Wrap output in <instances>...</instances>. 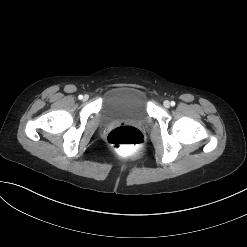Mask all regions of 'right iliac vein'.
Returning <instances> with one entry per match:
<instances>
[{
	"mask_svg": "<svg viewBox=\"0 0 247 247\" xmlns=\"http://www.w3.org/2000/svg\"><path fill=\"white\" fill-rule=\"evenodd\" d=\"M89 99V96L88 95H85L84 97H83V101H87Z\"/></svg>",
	"mask_w": 247,
	"mask_h": 247,
	"instance_id": "right-iliac-vein-1",
	"label": "right iliac vein"
}]
</instances>
